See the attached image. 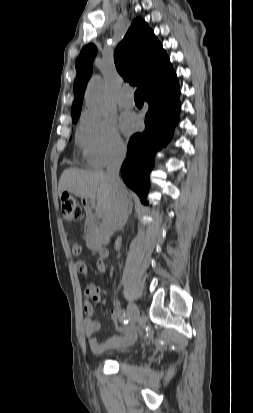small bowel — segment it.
<instances>
[{"label":"small bowel","mask_w":253,"mask_h":413,"mask_svg":"<svg viewBox=\"0 0 253 413\" xmlns=\"http://www.w3.org/2000/svg\"><path fill=\"white\" fill-rule=\"evenodd\" d=\"M86 250V246L82 244H76L73 247V254L76 256L81 255ZM98 254V253H97ZM99 258L96 263L97 271L101 274L105 273L106 271V255L98 254ZM74 267L77 272L81 273L85 277V318H84V329L85 335L88 339V344L91 351L94 354H101L107 350L111 349H118L130 346L133 344L138 336V332L133 327H120L116 325V329L119 331L120 334L113 335L106 339L105 341H99L98 338L95 336L97 331L100 328L99 322L94 318V310L91 303L88 301L91 298V293L97 291L96 286L89 281L88 279V268L84 261L76 260L74 263ZM121 311L118 305H114L111 310L112 319L115 321L118 317H120Z\"/></svg>","instance_id":"obj_1"}]
</instances>
